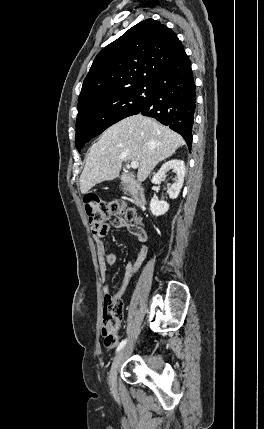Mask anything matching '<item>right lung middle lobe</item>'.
Instances as JSON below:
<instances>
[{"label": "right lung middle lobe", "instance_id": "obj_1", "mask_svg": "<svg viewBox=\"0 0 264 429\" xmlns=\"http://www.w3.org/2000/svg\"><path fill=\"white\" fill-rule=\"evenodd\" d=\"M153 84H137L78 106L76 148L101 134L114 123L138 114L152 95Z\"/></svg>", "mask_w": 264, "mask_h": 429}]
</instances>
